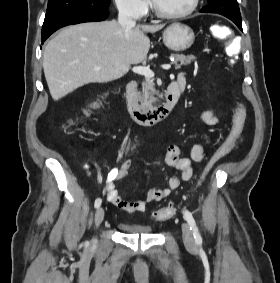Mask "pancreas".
<instances>
[{
    "label": "pancreas",
    "mask_w": 280,
    "mask_h": 283,
    "mask_svg": "<svg viewBox=\"0 0 280 283\" xmlns=\"http://www.w3.org/2000/svg\"><path fill=\"white\" fill-rule=\"evenodd\" d=\"M175 58V68L179 69L183 65H188L196 59L194 55H184V54H171ZM159 93L156 91L155 84L152 79L146 78L142 82V92H141V103L147 108H151L154 103L158 101Z\"/></svg>",
    "instance_id": "obj_1"
}]
</instances>
